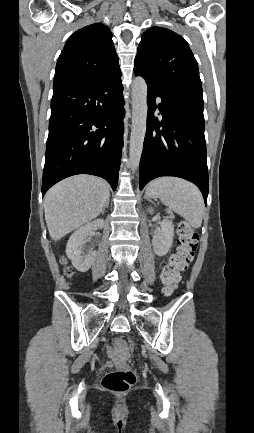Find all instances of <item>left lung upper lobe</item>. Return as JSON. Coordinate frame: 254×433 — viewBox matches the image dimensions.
Listing matches in <instances>:
<instances>
[{
	"label": "left lung upper lobe",
	"mask_w": 254,
	"mask_h": 433,
	"mask_svg": "<svg viewBox=\"0 0 254 433\" xmlns=\"http://www.w3.org/2000/svg\"><path fill=\"white\" fill-rule=\"evenodd\" d=\"M134 69L163 89L203 100L197 61L184 38L169 29L151 27L143 33Z\"/></svg>",
	"instance_id": "5c2ea615"
}]
</instances>
